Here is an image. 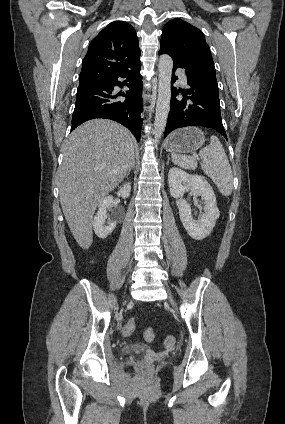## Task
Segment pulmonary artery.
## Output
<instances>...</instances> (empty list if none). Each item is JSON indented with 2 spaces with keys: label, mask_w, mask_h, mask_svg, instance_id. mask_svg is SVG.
<instances>
[{
  "label": "pulmonary artery",
  "mask_w": 285,
  "mask_h": 424,
  "mask_svg": "<svg viewBox=\"0 0 285 424\" xmlns=\"http://www.w3.org/2000/svg\"><path fill=\"white\" fill-rule=\"evenodd\" d=\"M177 72L179 73V75H180V80H181V82L183 83V84H185L186 83V77H185V75H184V70L182 69V68H178L177 69Z\"/></svg>",
  "instance_id": "pulmonary-artery-1"
}]
</instances>
